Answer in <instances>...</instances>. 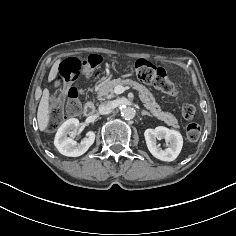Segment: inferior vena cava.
<instances>
[{"label": "inferior vena cava", "mask_w": 236, "mask_h": 236, "mask_svg": "<svg viewBox=\"0 0 236 236\" xmlns=\"http://www.w3.org/2000/svg\"><path fill=\"white\" fill-rule=\"evenodd\" d=\"M113 109H114L113 103L110 101L101 103L99 106V112L101 114H109L112 112Z\"/></svg>", "instance_id": "602c4592"}]
</instances>
